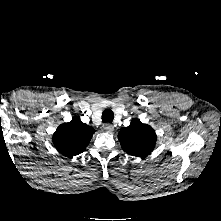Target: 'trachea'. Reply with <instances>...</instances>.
<instances>
[{
	"instance_id": "trachea-1",
	"label": "trachea",
	"mask_w": 221,
	"mask_h": 221,
	"mask_svg": "<svg viewBox=\"0 0 221 221\" xmlns=\"http://www.w3.org/2000/svg\"><path fill=\"white\" fill-rule=\"evenodd\" d=\"M114 119V113L111 109H106L102 113L103 122H112Z\"/></svg>"
}]
</instances>
